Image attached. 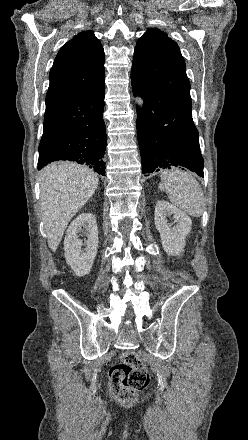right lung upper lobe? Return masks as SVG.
Instances as JSON below:
<instances>
[{
  "label": "right lung upper lobe",
  "instance_id": "obj_1",
  "mask_svg": "<svg viewBox=\"0 0 248 440\" xmlns=\"http://www.w3.org/2000/svg\"><path fill=\"white\" fill-rule=\"evenodd\" d=\"M49 79L46 104L104 84V51L92 31L77 34L59 50Z\"/></svg>",
  "mask_w": 248,
  "mask_h": 440
}]
</instances>
